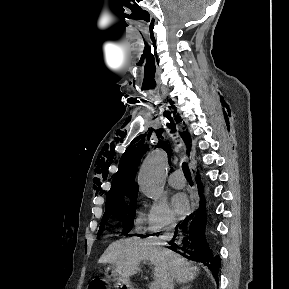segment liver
<instances>
[{
    "instance_id": "1",
    "label": "liver",
    "mask_w": 289,
    "mask_h": 289,
    "mask_svg": "<svg viewBox=\"0 0 289 289\" xmlns=\"http://www.w3.org/2000/svg\"><path fill=\"white\" fill-rule=\"evenodd\" d=\"M142 261H149L154 265V276L159 287L167 268H170L173 279L179 283L193 280L199 271L197 266H192L188 260L174 251L155 246L151 241L137 237L113 242L99 259V263L112 265L126 278L140 271Z\"/></svg>"
}]
</instances>
